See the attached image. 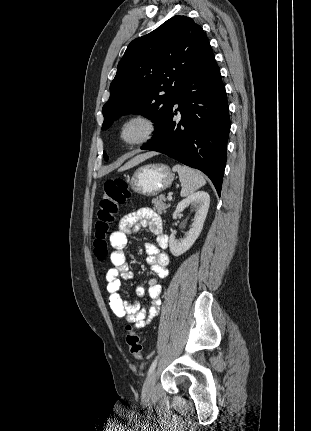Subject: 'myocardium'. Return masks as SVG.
Returning <instances> with one entry per match:
<instances>
[{
    "instance_id": "myocardium-1",
    "label": "myocardium",
    "mask_w": 311,
    "mask_h": 431,
    "mask_svg": "<svg viewBox=\"0 0 311 431\" xmlns=\"http://www.w3.org/2000/svg\"><path fill=\"white\" fill-rule=\"evenodd\" d=\"M131 119H140L146 122V124L148 125V131L143 137L137 140L127 141L123 139V137L121 136L120 130L122 125ZM160 128H161L160 122L154 114L148 111L140 110V111H134V112L128 113L123 117H121L116 123L115 133L118 140L123 145L128 147H137V146H143L153 141L160 133Z\"/></svg>"
}]
</instances>
